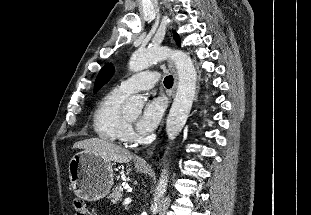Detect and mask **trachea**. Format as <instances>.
I'll list each match as a JSON object with an SVG mask.
<instances>
[{"label": "trachea", "mask_w": 311, "mask_h": 215, "mask_svg": "<svg viewBox=\"0 0 311 215\" xmlns=\"http://www.w3.org/2000/svg\"><path fill=\"white\" fill-rule=\"evenodd\" d=\"M164 85H165V87H167V88L172 87V85H173V76L169 75V76L165 77V79H164Z\"/></svg>", "instance_id": "3493384b"}]
</instances>
